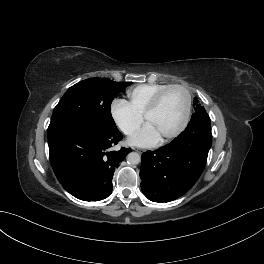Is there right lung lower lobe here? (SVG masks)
Returning a JSON list of instances; mask_svg holds the SVG:
<instances>
[{"mask_svg":"<svg viewBox=\"0 0 264 264\" xmlns=\"http://www.w3.org/2000/svg\"><path fill=\"white\" fill-rule=\"evenodd\" d=\"M122 139L117 127L75 128L48 139L50 163L62 186L84 201L112 193L115 168L131 149L108 151Z\"/></svg>","mask_w":264,"mask_h":264,"instance_id":"98d812e1","label":"right lung lower lobe"}]
</instances>
